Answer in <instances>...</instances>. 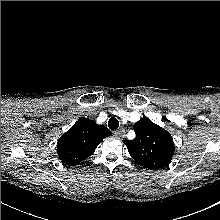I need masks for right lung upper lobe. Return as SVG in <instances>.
Segmentation results:
<instances>
[{
    "mask_svg": "<svg viewBox=\"0 0 220 220\" xmlns=\"http://www.w3.org/2000/svg\"><path fill=\"white\" fill-rule=\"evenodd\" d=\"M111 135L108 128L96 124L93 120H78L57 142L59 159L69 165H75L92 155L98 144Z\"/></svg>",
    "mask_w": 220,
    "mask_h": 220,
    "instance_id": "cb5924a9",
    "label": "right lung upper lobe"
}]
</instances>
